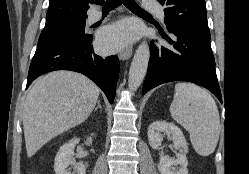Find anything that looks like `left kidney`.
Segmentation results:
<instances>
[{"mask_svg":"<svg viewBox=\"0 0 249 174\" xmlns=\"http://www.w3.org/2000/svg\"><path fill=\"white\" fill-rule=\"evenodd\" d=\"M161 133H164L173 141V146L176 150H179V153H177L176 160L165 157L163 152L160 153V160L157 166L160 174H188V161L186 157L188 144L183 132L175 124L166 121H155L151 123L148 127V140L150 146L155 150L160 149L163 141V135ZM178 165L180 167L175 168V166Z\"/></svg>","mask_w":249,"mask_h":174,"instance_id":"left-kidney-1","label":"left kidney"}]
</instances>
